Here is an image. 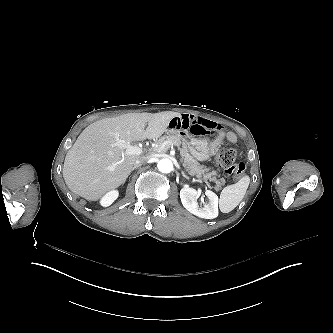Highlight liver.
<instances>
[{"mask_svg": "<svg viewBox=\"0 0 333 333\" xmlns=\"http://www.w3.org/2000/svg\"><path fill=\"white\" fill-rule=\"evenodd\" d=\"M176 117L181 113H128L91 123L66 154L62 171L66 186L89 201H99L122 186L134 163L145 158L127 154L116 146L117 139L129 143L157 139Z\"/></svg>", "mask_w": 333, "mask_h": 333, "instance_id": "6515ba94", "label": "liver"}]
</instances>
